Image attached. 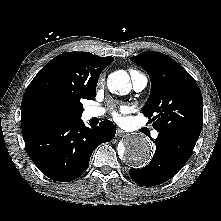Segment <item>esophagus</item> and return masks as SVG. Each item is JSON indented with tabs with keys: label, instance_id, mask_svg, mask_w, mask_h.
<instances>
[{
	"label": "esophagus",
	"instance_id": "esophagus-1",
	"mask_svg": "<svg viewBox=\"0 0 221 221\" xmlns=\"http://www.w3.org/2000/svg\"><path fill=\"white\" fill-rule=\"evenodd\" d=\"M126 133L123 131V130H121V129H117L116 130V136L117 137H122V136H124Z\"/></svg>",
	"mask_w": 221,
	"mask_h": 221
}]
</instances>
